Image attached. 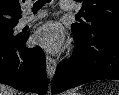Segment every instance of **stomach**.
<instances>
[{
    "label": "stomach",
    "mask_w": 119,
    "mask_h": 95,
    "mask_svg": "<svg viewBox=\"0 0 119 95\" xmlns=\"http://www.w3.org/2000/svg\"><path fill=\"white\" fill-rule=\"evenodd\" d=\"M71 95H79V94H77V93H73V94H71Z\"/></svg>",
    "instance_id": "0dacf381"
}]
</instances>
